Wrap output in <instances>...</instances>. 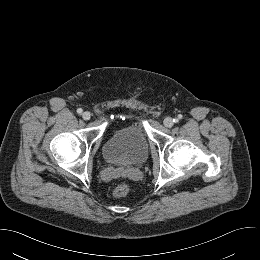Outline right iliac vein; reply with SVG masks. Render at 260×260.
Listing matches in <instances>:
<instances>
[{"instance_id": "1", "label": "right iliac vein", "mask_w": 260, "mask_h": 260, "mask_svg": "<svg viewBox=\"0 0 260 260\" xmlns=\"http://www.w3.org/2000/svg\"><path fill=\"white\" fill-rule=\"evenodd\" d=\"M82 117L84 120H89L90 117H91V114L89 111H85L83 114H82Z\"/></svg>"}]
</instances>
